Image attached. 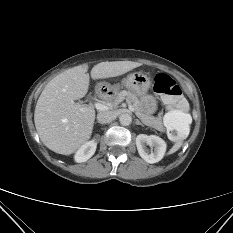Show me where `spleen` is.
<instances>
[{
	"label": "spleen",
	"mask_w": 233,
	"mask_h": 233,
	"mask_svg": "<svg viewBox=\"0 0 233 233\" xmlns=\"http://www.w3.org/2000/svg\"><path fill=\"white\" fill-rule=\"evenodd\" d=\"M164 118L168 123H170L172 125L175 123H181L185 126H188L192 121V118L189 114L184 113L182 111H178V110H173V111L168 112ZM181 144H182L181 141L177 142L171 148L169 153L172 154V153L176 152L181 147Z\"/></svg>",
	"instance_id": "spleen-1"
}]
</instances>
